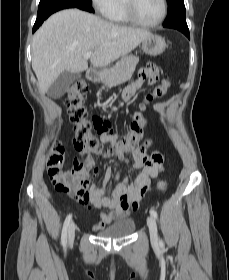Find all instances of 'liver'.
Returning a JSON list of instances; mask_svg holds the SVG:
<instances>
[{"mask_svg": "<svg viewBox=\"0 0 229 280\" xmlns=\"http://www.w3.org/2000/svg\"><path fill=\"white\" fill-rule=\"evenodd\" d=\"M151 33L145 29L120 26L79 9H67L50 16L32 42V68L44 94L64 71L88 69L84 54L92 51L90 62L104 67L134 50Z\"/></svg>", "mask_w": 229, "mask_h": 280, "instance_id": "6515ba94", "label": "liver"}]
</instances>
